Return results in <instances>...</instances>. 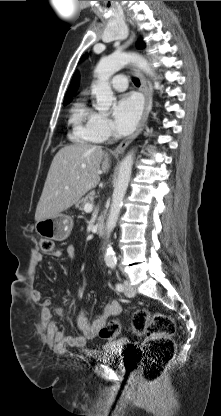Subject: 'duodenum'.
Segmentation results:
<instances>
[{"label":"duodenum","mask_w":221,"mask_h":416,"mask_svg":"<svg viewBox=\"0 0 221 416\" xmlns=\"http://www.w3.org/2000/svg\"><path fill=\"white\" fill-rule=\"evenodd\" d=\"M106 226L103 219H99L96 222V233L98 236H102L105 233Z\"/></svg>","instance_id":"obj_1"}]
</instances>
